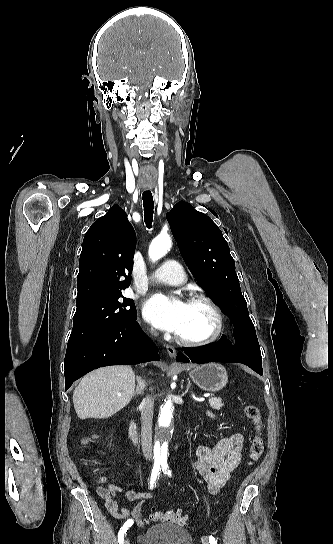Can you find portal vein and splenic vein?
<instances>
[{"label":"portal vein and splenic vein","instance_id":"18ae733b","mask_svg":"<svg viewBox=\"0 0 333 544\" xmlns=\"http://www.w3.org/2000/svg\"><path fill=\"white\" fill-rule=\"evenodd\" d=\"M119 396H121V394H119ZM209 396H210V394H204V395H203V397H205V398H206V397H209Z\"/></svg>","mask_w":333,"mask_h":544}]
</instances>
